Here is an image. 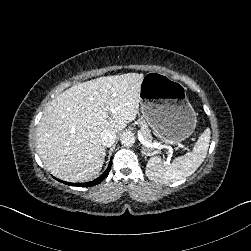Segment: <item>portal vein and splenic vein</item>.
Wrapping results in <instances>:
<instances>
[{"label":"portal vein and splenic vein","mask_w":251,"mask_h":251,"mask_svg":"<svg viewBox=\"0 0 251 251\" xmlns=\"http://www.w3.org/2000/svg\"><path fill=\"white\" fill-rule=\"evenodd\" d=\"M111 111V107L109 106L108 102H105L104 105V112L105 113H109ZM137 137L138 140L146 147H150V148H165L166 150H168L165 153V157H164V162L167 165H170L174 159H175V146H179L180 142L179 141H150L149 143L146 142V140L144 139V136L142 135L141 131L138 129L137 130Z\"/></svg>","instance_id":"18ae733b"}]
</instances>
